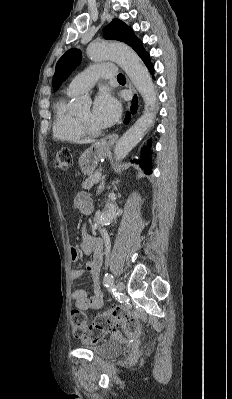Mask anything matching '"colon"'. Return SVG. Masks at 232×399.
Returning <instances> with one entry per match:
<instances>
[{"label":"colon","mask_w":232,"mask_h":399,"mask_svg":"<svg viewBox=\"0 0 232 399\" xmlns=\"http://www.w3.org/2000/svg\"><path fill=\"white\" fill-rule=\"evenodd\" d=\"M73 150H61L56 153V166L68 168L73 171ZM71 317V338H81L86 340V335L90 341H103L101 335H115V328L111 324H123V329L127 330V337H138L142 321H139L137 313H130V308H115V313H100L96 322H86L85 311L75 309Z\"/></svg>","instance_id":"obj_1"}]
</instances>
